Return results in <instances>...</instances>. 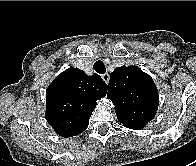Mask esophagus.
<instances>
[{
  "mask_svg": "<svg viewBox=\"0 0 196 166\" xmlns=\"http://www.w3.org/2000/svg\"><path fill=\"white\" fill-rule=\"evenodd\" d=\"M102 78L107 84L109 83L110 76L108 73L103 74Z\"/></svg>",
  "mask_w": 196,
  "mask_h": 166,
  "instance_id": "1",
  "label": "esophagus"
}]
</instances>
